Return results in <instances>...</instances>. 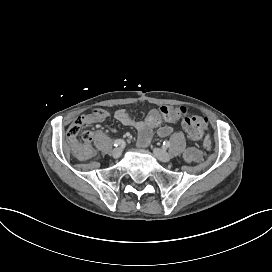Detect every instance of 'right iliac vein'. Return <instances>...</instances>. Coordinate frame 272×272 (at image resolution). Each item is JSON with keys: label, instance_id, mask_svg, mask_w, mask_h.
I'll return each mask as SVG.
<instances>
[{"label": "right iliac vein", "instance_id": "right-iliac-vein-1", "mask_svg": "<svg viewBox=\"0 0 272 272\" xmlns=\"http://www.w3.org/2000/svg\"><path fill=\"white\" fill-rule=\"evenodd\" d=\"M121 154H122V149L121 148H115L111 152L112 157L115 158V159L119 158L121 156Z\"/></svg>", "mask_w": 272, "mask_h": 272}]
</instances>
